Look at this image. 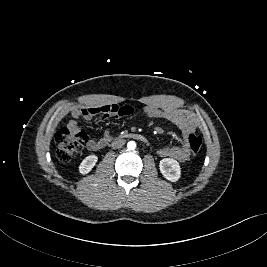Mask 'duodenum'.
Returning a JSON list of instances; mask_svg holds the SVG:
<instances>
[{
  "instance_id": "obj_1",
  "label": "duodenum",
  "mask_w": 267,
  "mask_h": 267,
  "mask_svg": "<svg viewBox=\"0 0 267 267\" xmlns=\"http://www.w3.org/2000/svg\"><path fill=\"white\" fill-rule=\"evenodd\" d=\"M119 139L120 140H122V139H134V140H138L141 142L147 141V138L140 133H127V134L121 136Z\"/></svg>"
}]
</instances>
